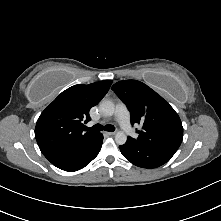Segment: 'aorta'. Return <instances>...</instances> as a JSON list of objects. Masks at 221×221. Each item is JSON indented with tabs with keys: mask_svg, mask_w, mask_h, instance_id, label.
Segmentation results:
<instances>
[{
	"mask_svg": "<svg viewBox=\"0 0 221 221\" xmlns=\"http://www.w3.org/2000/svg\"><path fill=\"white\" fill-rule=\"evenodd\" d=\"M100 112L105 116H112L115 112V105L112 101L104 100L99 106ZM127 141V136L123 131H118L115 135V142L118 145H123Z\"/></svg>",
	"mask_w": 221,
	"mask_h": 221,
	"instance_id": "1",
	"label": "aorta"
}]
</instances>
